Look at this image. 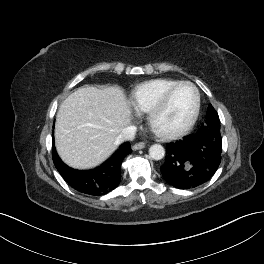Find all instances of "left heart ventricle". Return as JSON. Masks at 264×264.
Returning <instances> with one entry per match:
<instances>
[{"label": "left heart ventricle", "mask_w": 264, "mask_h": 264, "mask_svg": "<svg viewBox=\"0 0 264 264\" xmlns=\"http://www.w3.org/2000/svg\"><path fill=\"white\" fill-rule=\"evenodd\" d=\"M195 92L189 85L178 87L168 104L156 118V125L163 130H175L183 126L192 114Z\"/></svg>", "instance_id": "obj_1"}]
</instances>
